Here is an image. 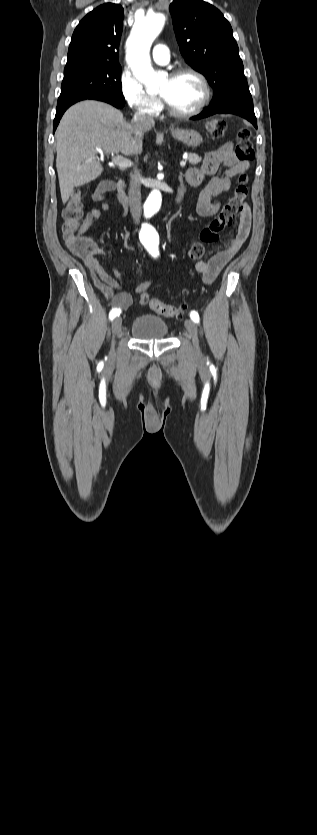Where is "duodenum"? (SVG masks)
Masks as SVG:
<instances>
[{"label": "duodenum", "mask_w": 317, "mask_h": 835, "mask_svg": "<svg viewBox=\"0 0 317 835\" xmlns=\"http://www.w3.org/2000/svg\"><path fill=\"white\" fill-rule=\"evenodd\" d=\"M106 189H107V191H108L109 193L114 194V196H115V197H116V198H117V199H118L121 203H123V204H127V203H128V196H127V194H126V192H125V189H124V182H123L122 180H120V181H118V182H116V183H115V182H111V181L106 182ZM182 194H183V189H182V188H179L178 193H177V196H176V198H175V204H177V203L180 201V198H181Z\"/></svg>", "instance_id": "duodenum-1"}]
</instances>
